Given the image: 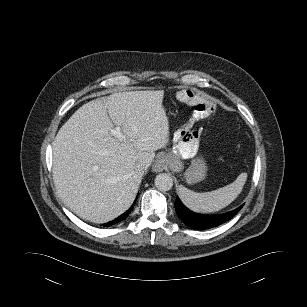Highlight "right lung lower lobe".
<instances>
[{
  "instance_id": "1",
  "label": "right lung lower lobe",
  "mask_w": 307,
  "mask_h": 307,
  "mask_svg": "<svg viewBox=\"0 0 307 307\" xmlns=\"http://www.w3.org/2000/svg\"><path fill=\"white\" fill-rule=\"evenodd\" d=\"M135 202H136V200H135ZM135 202H134L133 205L130 207V209H128L125 213H123L121 216H119V217L116 218L115 220H113V221H111V222H108V223H106V224H103V226H111V225H113V224H116V223H118V222L124 220V219L129 215V213L131 212V210L133 209Z\"/></svg>"
}]
</instances>
